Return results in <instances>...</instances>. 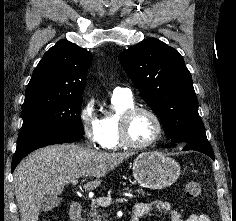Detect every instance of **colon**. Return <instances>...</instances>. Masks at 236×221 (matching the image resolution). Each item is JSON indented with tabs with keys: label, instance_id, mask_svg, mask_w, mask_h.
<instances>
[{
	"label": "colon",
	"instance_id": "obj_1",
	"mask_svg": "<svg viewBox=\"0 0 236 221\" xmlns=\"http://www.w3.org/2000/svg\"><path fill=\"white\" fill-rule=\"evenodd\" d=\"M185 194L187 198H198L202 194V186L199 182L190 181L185 186ZM48 221V220H41Z\"/></svg>",
	"mask_w": 236,
	"mask_h": 221
}]
</instances>
